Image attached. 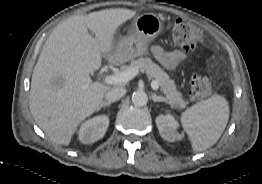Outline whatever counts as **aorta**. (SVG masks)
<instances>
[{
  "label": "aorta",
  "mask_w": 262,
  "mask_h": 184,
  "mask_svg": "<svg viewBox=\"0 0 262 184\" xmlns=\"http://www.w3.org/2000/svg\"><path fill=\"white\" fill-rule=\"evenodd\" d=\"M148 102V96L144 91H136L132 94V103L135 106H144Z\"/></svg>",
  "instance_id": "obj_1"
}]
</instances>
